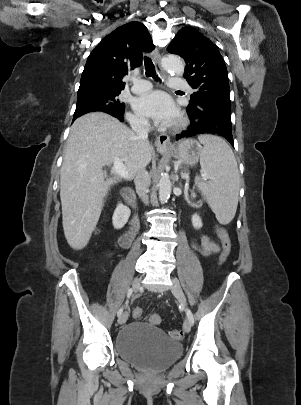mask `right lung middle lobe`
<instances>
[{"instance_id":"right-lung-middle-lobe-1","label":"right lung middle lobe","mask_w":301,"mask_h":405,"mask_svg":"<svg viewBox=\"0 0 301 405\" xmlns=\"http://www.w3.org/2000/svg\"><path fill=\"white\" fill-rule=\"evenodd\" d=\"M120 90L92 89L78 92L74 118L83 114L101 111L108 114H124L125 104L117 96Z\"/></svg>"}]
</instances>
